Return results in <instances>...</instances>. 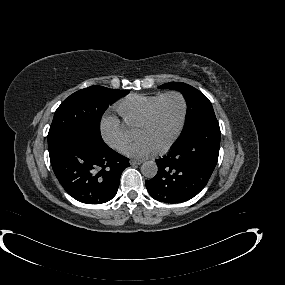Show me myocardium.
Returning <instances> with one entry per match:
<instances>
[{
    "label": "myocardium",
    "mask_w": 285,
    "mask_h": 285,
    "mask_svg": "<svg viewBox=\"0 0 285 285\" xmlns=\"http://www.w3.org/2000/svg\"><path fill=\"white\" fill-rule=\"evenodd\" d=\"M177 97L181 103H182V114H181V119L178 125L177 130L175 131V133L173 134V136L171 137V139L169 141H167L165 144L157 146V150L160 152L166 151L167 149H169L180 137L184 126H185V121H186V116H187V101L185 99V97L177 92V91H169L167 93H164L154 104L151 112L149 113V115L147 116V118L141 122V124L138 126V129L143 128L148 126L149 124H151L153 122V120L156 117L158 108L160 106V104L168 97Z\"/></svg>",
    "instance_id": "1"
}]
</instances>
